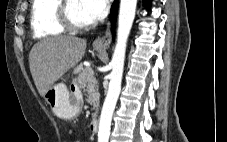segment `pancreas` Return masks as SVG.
Segmentation results:
<instances>
[{
  "label": "pancreas",
  "instance_id": "obj_1",
  "mask_svg": "<svg viewBox=\"0 0 227 142\" xmlns=\"http://www.w3.org/2000/svg\"><path fill=\"white\" fill-rule=\"evenodd\" d=\"M83 70L75 79V83L78 84L79 90L87 97L88 103L92 106V110L95 113L98 112L100 106V95L98 92V85L95 78L88 79Z\"/></svg>",
  "mask_w": 227,
  "mask_h": 142
}]
</instances>
